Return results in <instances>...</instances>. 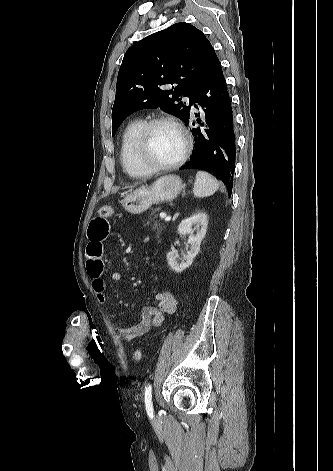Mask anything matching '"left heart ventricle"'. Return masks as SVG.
Wrapping results in <instances>:
<instances>
[{
    "label": "left heart ventricle",
    "instance_id": "1",
    "mask_svg": "<svg viewBox=\"0 0 333 471\" xmlns=\"http://www.w3.org/2000/svg\"><path fill=\"white\" fill-rule=\"evenodd\" d=\"M181 151L182 139L173 126L160 124L153 128L149 139V157L154 163H170Z\"/></svg>",
    "mask_w": 333,
    "mask_h": 471
}]
</instances>
